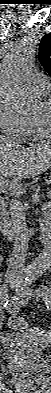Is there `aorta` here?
<instances>
[{
    "instance_id": "762f6f07",
    "label": "aorta",
    "mask_w": 51,
    "mask_h": 393,
    "mask_svg": "<svg viewBox=\"0 0 51 393\" xmlns=\"http://www.w3.org/2000/svg\"><path fill=\"white\" fill-rule=\"evenodd\" d=\"M33 59V49L20 43L12 48L1 66V92L12 109L19 113H32L41 108V100L28 78ZM39 226L46 247L29 266L33 276L48 271L51 264L50 225L41 220Z\"/></svg>"
}]
</instances>
